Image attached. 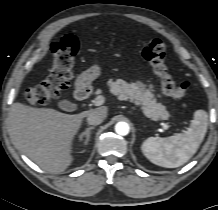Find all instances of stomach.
Returning <instances> with one entry per match:
<instances>
[{
    "instance_id": "obj_1",
    "label": "stomach",
    "mask_w": 218,
    "mask_h": 210,
    "mask_svg": "<svg viewBox=\"0 0 218 210\" xmlns=\"http://www.w3.org/2000/svg\"><path fill=\"white\" fill-rule=\"evenodd\" d=\"M101 68L98 65H93L78 76L75 81L77 90L87 88L91 83L100 76Z\"/></svg>"
}]
</instances>
